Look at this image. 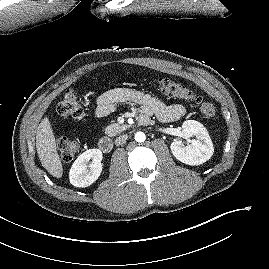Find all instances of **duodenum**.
I'll return each mask as SVG.
<instances>
[{
    "label": "duodenum",
    "mask_w": 269,
    "mask_h": 269,
    "mask_svg": "<svg viewBox=\"0 0 269 269\" xmlns=\"http://www.w3.org/2000/svg\"><path fill=\"white\" fill-rule=\"evenodd\" d=\"M99 149L104 153H110L113 149V141L109 137H102L98 142Z\"/></svg>",
    "instance_id": "duodenum-1"
}]
</instances>
